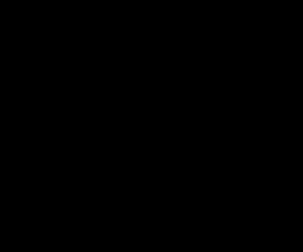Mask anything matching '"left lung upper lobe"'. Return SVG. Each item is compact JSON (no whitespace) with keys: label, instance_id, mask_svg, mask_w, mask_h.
Returning a JSON list of instances; mask_svg holds the SVG:
<instances>
[{"label":"left lung upper lobe","instance_id":"1","mask_svg":"<svg viewBox=\"0 0 303 252\" xmlns=\"http://www.w3.org/2000/svg\"><path fill=\"white\" fill-rule=\"evenodd\" d=\"M232 127L231 124H229V128ZM210 141L212 143H217V144H230V137L226 135L225 133H216Z\"/></svg>","mask_w":303,"mask_h":252}]
</instances>
